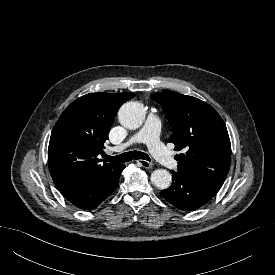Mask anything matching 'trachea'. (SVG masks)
Segmentation results:
<instances>
[{
	"label": "trachea",
	"mask_w": 275,
	"mask_h": 275,
	"mask_svg": "<svg viewBox=\"0 0 275 275\" xmlns=\"http://www.w3.org/2000/svg\"><path fill=\"white\" fill-rule=\"evenodd\" d=\"M104 159L111 163H124V162H128L131 160H138V159L151 161L150 157L146 153L141 151H136V150L125 152L117 156L106 155Z\"/></svg>",
	"instance_id": "trachea-1"
}]
</instances>
